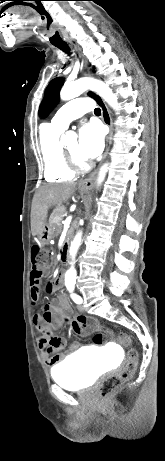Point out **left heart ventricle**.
I'll list each match as a JSON object with an SVG mask.
<instances>
[{
  "label": "left heart ventricle",
  "mask_w": 165,
  "mask_h": 461,
  "mask_svg": "<svg viewBox=\"0 0 165 461\" xmlns=\"http://www.w3.org/2000/svg\"><path fill=\"white\" fill-rule=\"evenodd\" d=\"M66 148L77 158L83 160V158L80 156L79 151H78V143L76 140L70 142L68 145H66Z\"/></svg>",
  "instance_id": "1"
}]
</instances>
